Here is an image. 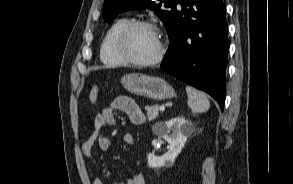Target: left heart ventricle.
Segmentation results:
<instances>
[{"mask_svg":"<svg viewBox=\"0 0 293 184\" xmlns=\"http://www.w3.org/2000/svg\"><path fill=\"white\" fill-rule=\"evenodd\" d=\"M124 50L133 59L149 60L158 52V38L152 30L137 27L126 36Z\"/></svg>","mask_w":293,"mask_h":184,"instance_id":"obj_1","label":"left heart ventricle"}]
</instances>
